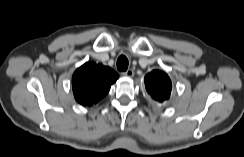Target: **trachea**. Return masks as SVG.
Here are the masks:
<instances>
[{"label": "trachea", "mask_w": 244, "mask_h": 157, "mask_svg": "<svg viewBox=\"0 0 244 157\" xmlns=\"http://www.w3.org/2000/svg\"><path fill=\"white\" fill-rule=\"evenodd\" d=\"M128 68V59L126 56L121 55L118 59H117V69L119 71H126Z\"/></svg>", "instance_id": "3493384b"}]
</instances>
